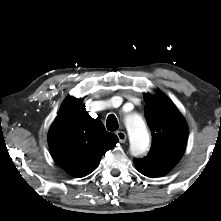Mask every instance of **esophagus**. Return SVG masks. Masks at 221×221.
<instances>
[{
  "mask_svg": "<svg viewBox=\"0 0 221 221\" xmlns=\"http://www.w3.org/2000/svg\"><path fill=\"white\" fill-rule=\"evenodd\" d=\"M116 135L119 139V142L124 143L126 141L127 136H126L125 132L117 131Z\"/></svg>",
  "mask_w": 221,
  "mask_h": 221,
  "instance_id": "34e87169",
  "label": "esophagus"
}]
</instances>
